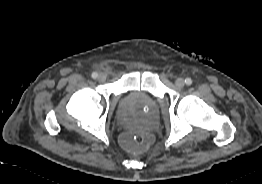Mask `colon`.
<instances>
[{
  "label": "colon",
  "mask_w": 262,
  "mask_h": 184,
  "mask_svg": "<svg viewBox=\"0 0 262 184\" xmlns=\"http://www.w3.org/2000/svg\"><path fill=\"white\" fill-rule=\"evenodd\" d=\"M150 143V137L145 133H128L122 137V145L127 150L139 152L144 150Z\"/></svg>",
  "instance_id": "colon-1"
}]
</instances>
